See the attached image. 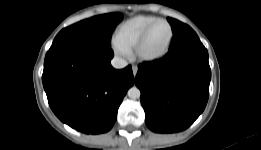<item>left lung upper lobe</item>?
Instances as JSON below:
<instances>
[{
  "mask_svg": "<svg viewBox=\"0 0 261 150\" xmlns=\"http://www.w3.org/2000/svg\"><path fill=\"white\" fill-rule=\"evenodd\" d=\"M168 21H169V23H170V25L172 27L173 33H176L179 30H181V29H183V28H185L187 26L186 24H184V23H182V22H180L178 20H175L173 18H168Z\"/></svg>",
  "mask_w": 261,
  "mask_h": 150,
  "instance_id": "1",
  "label": "left lung upper lobe"
}]
</instances>
